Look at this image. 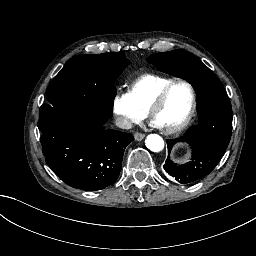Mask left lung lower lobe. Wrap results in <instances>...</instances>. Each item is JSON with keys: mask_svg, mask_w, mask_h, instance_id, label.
Returning <instances> with one entry per match:
<instances>
[{"mask_svg": "<svg viewBox=\"0 0 256 256\" xmlns=\"http://www.w3.org/2000/svg\"><path fill=\"white\" fill-rule=\"evenodd\" d=\"M169 175H171L172 177H175L176 180L182 184L193 183L205 177V176L180 175V174H174V173H169Z\"/></svg>", "mask_w": 256, "mask_h": 256, "instance_id": "obj_1", "label": "left lung lower lobe"}]
</instances>
